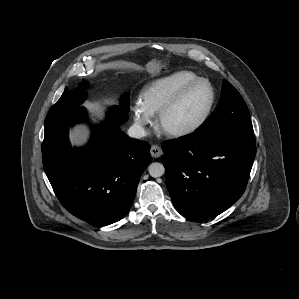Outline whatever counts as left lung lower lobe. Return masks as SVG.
<instances>
[{"mask_svg":"<svg viewBox=\"0 0 299 299\" xmlns=\"http://www.w3.org/2000/svg\"><path fill=\"white\" fill-rule=\"evenodd\" d=\"M165 180L176 210L192 220L215 217L244 193L256 155L254 135L190 134L162 144Z\"/></svg>","mask_w":299,"mask_h":299,"instance_id":"1","label":"left lung lower lobe"}]
</instances>
